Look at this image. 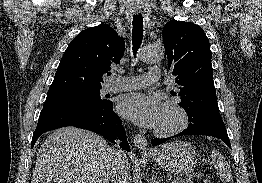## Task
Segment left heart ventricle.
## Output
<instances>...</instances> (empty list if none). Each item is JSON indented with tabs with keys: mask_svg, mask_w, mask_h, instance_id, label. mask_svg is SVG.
Returning <instances> with one entry per match:
<instances>
[{
	"mask_svg": "<svg viewBox=\"0 0 262 183\" xmlns=\"http://www.w3.org/2000/svg\"><path fill=\"white\" fill-rule=\"evenodd\" d=\"M179 123V115L169 107H163L159 123L155 129L165 131L174 128Z\"/></svg>",
	"mask_w": 262,
	"mask_h": 183,
	"instance_id": "b2bd125f",
	"label": "left heart ventricle"
}]
</instances>
